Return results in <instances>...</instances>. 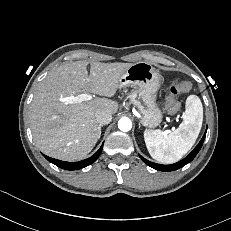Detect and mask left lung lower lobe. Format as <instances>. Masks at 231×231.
<instances>
[{"instance_id":"obj_1","label":"left lung lower lobe","mask_w":231,"mask_h":231,"mask_svg":"<svg viewBox=\"0 0 231 231\" xmlns=\"http://www.w3.org/2000/svg\"><path fill=\"white\" fill-rule=\"evenodd\" d=\"M205 137H206V132H205L204 136L202 137L201 141L199 142V144L194 148V150L187 157H185L183 160H181L175 164L161 165V164H156V163L150 162L147 159L143 158L142 156H140V157L148 166H150L156 170L174 171V170H177V169L183 167L184 165L188 164L189 162H191L195 158V156L197 155V153L199 152V150L201 149V147L203 145Z\"/></svg>"}]
</instances>
